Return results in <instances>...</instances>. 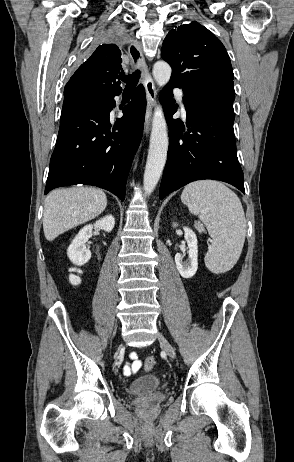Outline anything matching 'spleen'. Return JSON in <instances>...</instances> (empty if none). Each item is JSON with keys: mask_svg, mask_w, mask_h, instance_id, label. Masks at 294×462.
<instances>
[{"mask_svg": "<svg viewBox=\"0 0 294 462\" xmlns=\"http://www.w3.org/2000/svg\"><path fill=\"white\" fill-rule=\"evenodd\" d=\"M181 200L206 225L212 244L205 256L216 274L229 271L238 261L246 236V220L238 196L223 183L202 180L185 186Z\"/></svg>", "mask_w": 294, "mask_h": 462, "instance_id": "1", "label": "spleen"}]
</instances>
